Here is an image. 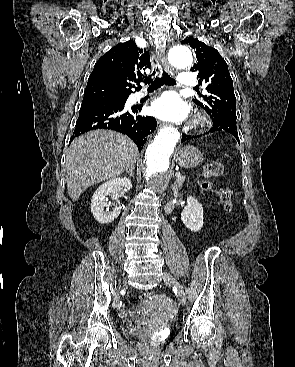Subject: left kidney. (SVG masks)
I'll use <instances>...</instances> for the list:
<instances>
[{
	"label": "left kidney",
	"mask_w": 295,
	"mask_h": 367,
	"mask_svg": "<svg viewBox=\"0 0 295 367\" xmlns=\"http://www.w3.org/2000/svg\"><path fill=\"white\" fill-rule=\"evenodd\" d=\"M181 220L192 232H198L203 226V207L197 199L187 197V205L181 213Z\"/></svg>",
	"instance_id": "1"
}]
</instances>
